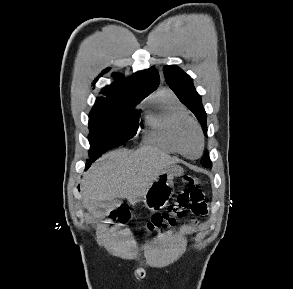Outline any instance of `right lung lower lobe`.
<instances>
[{"label": "right lung lower lobe", "mask_w": 293, "mask_h": 289, "mask_svg": "<svg viewBox=\"0 0 293 289\" xmlns=\"http://www.w3.org/2000/svg\"><path fill=\"white\" fill-rule=\"evenodd\" d=\"M90 163H91V161H90V160H88V161H87V166H89V164H90Z\"/></svg>", "instance_id": "right-lung-lower-lobe-1"}]
</instances>
